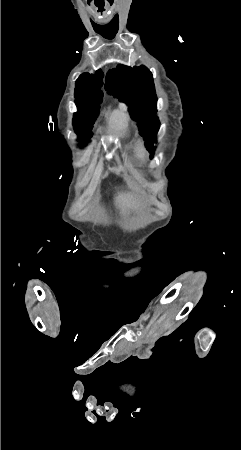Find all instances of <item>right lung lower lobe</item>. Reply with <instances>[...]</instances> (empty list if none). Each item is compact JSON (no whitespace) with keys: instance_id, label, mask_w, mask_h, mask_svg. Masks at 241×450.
Wrapping results in <instances>:
<instances>
[{"instance_id":"1","label":"right lung lower lobe","mask_w":241,"mask_h":450,"mask_svg":"<svg viewBox=\"0 0 241 450\" xmlns=\"http://www.w3.org/2000/svg\"><path fill=\"white\" fill-rule=\"evenodd\" d=\"M92 114H85L77 126L76 132L80 135L83 141H88V136L91 134L92 130Z\"/></svg>"}]
</instances>
